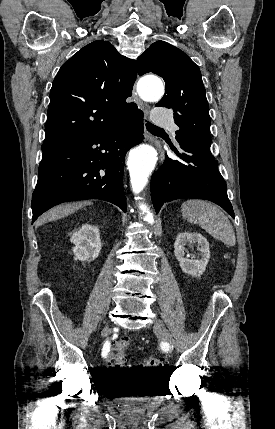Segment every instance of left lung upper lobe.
Segmentation results:
<instances>
[{
    "mask_svg": "<svg viewBox=\"0 0 275 429\" xmlns=\"http://www.w3.org/2000/svg\"><path fill=\"white\" fill-rule=\"evenodd\" d=\"M138 74L155 73L166 84L165 95L156 104L171 108L179 130L176 140L193 139L211 146L209 106L199 67L177 47L153 43L137 59Z\"/></svg>",
    "mask_w": 275,
    "mask_h": 429,
    "instance_id": "1",
    "label": "left lung upper lobe"
}]
</instances>
